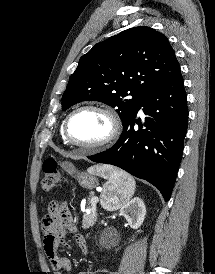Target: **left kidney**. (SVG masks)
Returning a JSON list of instances; mask_svg holds the SVG:
<instances>
[{"instance_id":"1","label":"left kidney","mask_w":215,"mask_h":274,"mask_svg":"<svg viewBox=\"0 0 215 274\" xmlns=\"http://www.w3.org/2000/svg\"><path fill=\"white\" fill-rule=\"evenodd\" d=\"M120 214L127 220L131 228L138 229L145 219L146 207L143 200L136 197L121 208Z\"/></svg>"}]
</instances>
